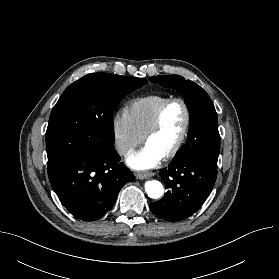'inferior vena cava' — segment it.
<instances>
[{
  "label": "inferior vena cava",
  "instance_id": "1",
  "mask_svg": "<svg viewBox=\"0 0 279 279\" xmlns=\"http://www.w3.org/2000/svg\"><path fill=\"white\" fill-rule=\"evenodd\" d=\"M117 150L121 155L132 152V149L127 144L122 143V142H118Z\"/></svg>",
  "mask_w": 279,
  "mask_h": 279
}]
</instances>
